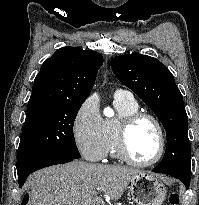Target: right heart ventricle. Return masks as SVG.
<instances>
[{
	"instance_id": "obj_1",
	"label": "right heart ventricle",
	"mask_w": 199,
	"mask_h": 205,
	"mask_svg": "<svg viewBox=\"0 0 199 205\" xmlns=\"http://www.w3.org/2000/svg\"><path fill=\"white\" fill-rule=\"evenodd\" d=\"M113 104L117 110V116L103 120V130L106 141V154L118 158L115 145L117 124L123 116L137 112L139 104L132 96L124 94H115Z\"/></svg>"
}]
</instances>
